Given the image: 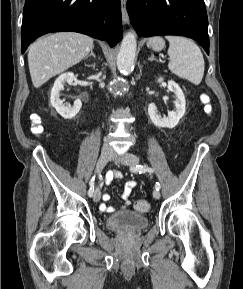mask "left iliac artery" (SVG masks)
Listing matches in <instances>:
<instances>
[{
	"instance_id": "44dca946",
	"label": "left iliac artery",
	"mask_w": 243,
	"mask_h": 289,
	"mask_svg": "<svg viewBox=\"0 0 243 289\" xmlns=\"http://www.w3.org/2000/svg\"><path fill=\"white\" fill-rule=\"evenodd\" d=\"M135 172H139V173H144V172H149V173H153V169L151 167L145 166V165H136L135 168L132 169ZM161 185L159 182H156L155 184V189L156 190H160Z\"/></svg>"
}]
</instances>
